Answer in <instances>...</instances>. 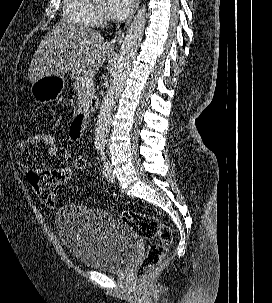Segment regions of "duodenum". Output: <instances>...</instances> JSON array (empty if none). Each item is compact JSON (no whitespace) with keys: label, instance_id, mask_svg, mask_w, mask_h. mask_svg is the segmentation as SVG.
I'll list each match as a JSON object with an SVG mask.
<instances>
[{"label":"duodenum","instance_id":"obj_1","mask_svg":"<svg viewBox=\"0 0 272 303\" xmlns=\"http://www.w3.org/2000/svg\"><path fill=\"white\" fill-rule=\"evenodd\" d=\"M95 109V104L93 103L90 107V111H93ZM88 110H80L77 112L75 119H74V128L77 133V135H80L86 125V121L88 118Z\"/></svg>","mask_w":272,"mask_h":303}]
</instances>
